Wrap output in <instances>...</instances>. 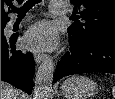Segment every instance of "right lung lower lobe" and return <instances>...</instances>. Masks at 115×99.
<instances>
[{
	"label": "right lung lower lobe",
	"mask_w": 115,
	"mask_h": 99,
	"mask_svg": "<svg viewBox=\"0 0 115 99\" xmlns=\"http://www.w3.org/2000/svg\"><path fill=\"white\" fill-rule=\"evenodd\" d=\"M17 38L18 34L5 37L1 33V80L31 94L35 63L30 52L15 48Z\"/></svg>",
	"instance_id": "1"
}]
</instances>
